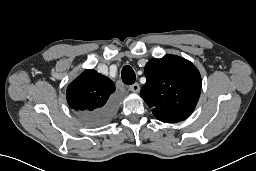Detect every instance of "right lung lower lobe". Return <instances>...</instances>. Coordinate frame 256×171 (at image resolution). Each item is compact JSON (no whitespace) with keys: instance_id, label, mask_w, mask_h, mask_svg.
Wrapping results in <instances>:
<instances>
[{"instance_id":"98d812e1","label":"right lung lower lobe","mask_w":256,"mask_h":171,"mask_svg":"<svg viewBox=\"0 0 256 171\" xmlns=\"http://www.w3.org/2000/svg\"><path fill=\"white\" fill-rule=\"evenodd\" d=\"M116 112V102L112 99L103 108L86 114L83 119L86 123L92 126L102 125L112 119Z\"/></svg>"}]
</instances>
